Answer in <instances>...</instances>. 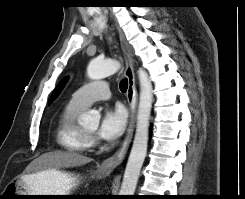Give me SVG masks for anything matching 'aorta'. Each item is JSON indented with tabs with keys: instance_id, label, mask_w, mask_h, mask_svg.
Returning a JSON list of instances; mask_svg holds the SVG:
<instances>
[{
	"instance_id": "762f6f07",
	"label": "aorta",
	"mask_w": 245,
	"mask_h": 199,
	"mask_svg": "<svg viewBox=\"0 0 245 199\" xmlns=\"http://www.w3.org/2000/svg\"><path fill=\"white\" fill-rule=\"evenodd\" d=\"M120 68L117 61L108 59L99 61L93 59L87 67V76L92 80H99L115 74ZM140 82V97L137 113L136 132L125 168L120 195H134L140 171L147 154L149 119L153 101V87L145 70L138 71ZM100 113L89 110L81 115L79 123L83 126H97Z\"/></svg>"
}]
</instances>
